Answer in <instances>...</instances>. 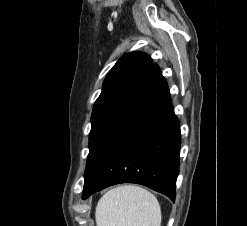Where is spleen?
<instances>
[{
    "instance_id": "obj_1",
    "label": "spleen",
    "mask_w": 247,
    "mask_h": 226,
    "mask_svg": "<svg viewBox=\"0 0 247 226\" xmlns=\"http://www.w3.org/2000/svg\"><path fill=\"white\" fill-rule=\"evenodd\" d=\"M97 226H160L161 209L156 197L138 186H119L99 200Z\"/></svg>"
}]
</instances>
